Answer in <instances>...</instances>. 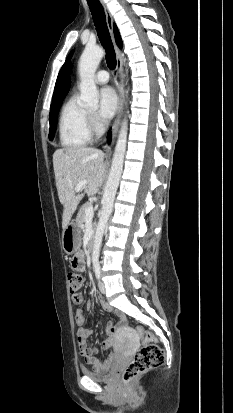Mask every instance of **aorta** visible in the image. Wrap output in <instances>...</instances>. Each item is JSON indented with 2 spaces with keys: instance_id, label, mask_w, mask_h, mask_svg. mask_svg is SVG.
I'll use <instances>...</instances> for the list:
<instances>
[{
  "instance_id": "762f6f07",
  "label": "aorta",
  "mask_w": 233,
  "mask_h": 413,
  "mask_svg": "<svg viewBox=\"0 0 233 413\" xmlns=\"http://www.w3.org/2000/svg\"><path fill=\"white\" fill-rule=\"evenodd\" d=\"M105 51L100 47H86L80 57L78 70L80 76V91L81 100L90 107H97L99 101V94L95 84V72L103 58ZM128 134V121L124 118L118 135L115 151L113 154L112 165L106 186L104 188V194L102 198V209L99 217L98 225L96 228L92 263L93 265L99 264L100 248L102 244V238L107 221L112 213L115 195L119 186L121 178L124 157L126 152Z\"/></svg>"
}]
</instances>
